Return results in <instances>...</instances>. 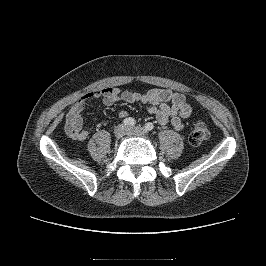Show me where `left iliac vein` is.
Returning a JSON list of instances; mask_svg holds the SVG:
<instances>
[{
    "label": "left iliac vein",
    "mask_w": 266,
    "mask_h": 266,
    "mask_svg": "<svg viewBox=\"0 0 266 266\" xmlns=\"http://www.w3.org/2000/svg\"><path fill=\"white\" fill-rule=\"evenodd\" d=\"M126 134L129 136L145 137L148 135V131L143 127H127Z\"/></svg>",
    "instance_id": "1"
}]
</instances>
